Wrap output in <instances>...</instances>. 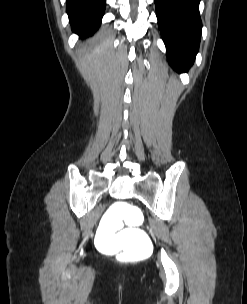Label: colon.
<instances>
[{"mask_svg": "<svg viewBox=\"0 0 247 304\" xmlns=\"http://www.w3.org/2000/svg\"><path fill=\"white\" fill-rule=\"evenodd\" d=\"M94 242L99 253H121V259H151L155 246L138 202H113L103 212Z\"/></svg>", "mask_w": 247, "mask_h": 304, "instance_id": "obj_1", "label": "colon"}]
</instances>
